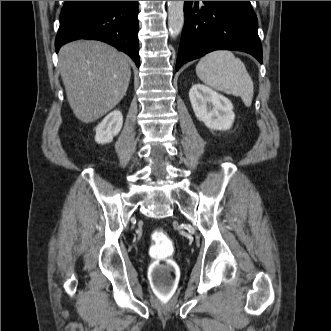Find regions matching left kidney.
<instances>
[{
  "instance_id": "1",
  "label": "left kidney",
  "mask_w": 331,
  "mask_h": 331,
  "mask_svg": "<svg viewBox=\"0 0 331 331\" xmlns=\"http://www.w3.org/2000/svg\"><path fill=\"white\" fill-rule=\"evenodd\" d=\"M189 98L196 117L209 129L226 131L232 127L235 114L228 98L203 84H194Z\"/></svg>"
}]
</instances>
